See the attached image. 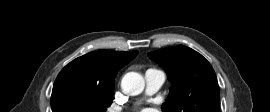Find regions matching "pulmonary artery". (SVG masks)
I'll return each instance as SVG.
<instances>
[{
	"label": "pulmonary artery",
	"instance_id": "obj_1",
	"mask_svg": "<svg viewBox=\"0 0 270 112\" xmlns=\"http://www.w3.org/2000/svg\"><path fill=\"white\" fill-rule=\"evenodd\" d=\"M165 79L166 75L162 70L155 68L148 69L145 72L146 94L152 95L156 93L163 85Z\"/></svg>",
	"mask_w": 270,
	"mask_h": 112
}]
</instances>
